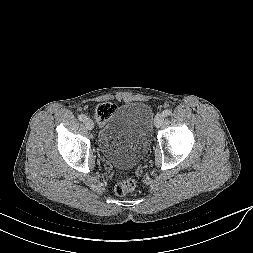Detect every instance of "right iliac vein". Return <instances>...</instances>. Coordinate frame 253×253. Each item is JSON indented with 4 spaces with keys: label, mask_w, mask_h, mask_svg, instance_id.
I'll return each mask as SVG.
<instances>
[{
    "label": "right iliac vein",
    "mask_w": 253,
    "mask_h": 253,
    "mask_svg": "<svg viewBox=\"0 0 253 253\" xmlns=\"http://www.w3.org/2000/svg\"><path fill=\"white\" fill-rule=\"evenodd\" d=\"M85 126L88 130H92L94 128V123L91 119L87 118L85 120Z\"/></svg>",
    "instance_id": "right-iliac-vein-1"
}]
</instances>
